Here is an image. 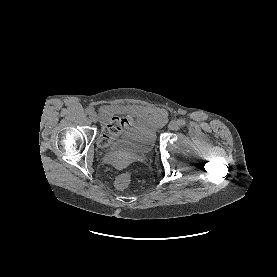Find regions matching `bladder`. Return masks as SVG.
I'll use <instances>...</instances> for the list:
<instances>
[{"mask_svg": "<svg viewBox=\"0 0 277 277\" xmlns=\"http://www.w3.org/2000/svg\"><path fill=\"white\" fill-rule=\"evenodd\" d=\"M157 135L158 125L152 119H136L109 145V148L116 153H148L155 146Z\"/></svg>", "mask_w": 277, "mask_h": 277, "instance_id": "1", "label": "bladder"}]
</instances>
